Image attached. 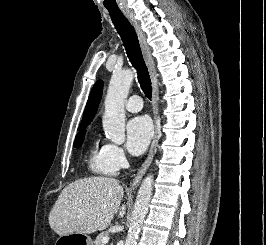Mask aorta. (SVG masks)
I'll return each instance as SVG.
<instances>
[{
    "label": "aorta",
    "instance_id": "obj_1",
    "mask_svg": "<svg viewBox=\"0 0 266 245\" xmlns=\"http://www.w3.org/2000/svg\"><path fill=\"white\" fill-rule=\"evenodd\" d=\"M133 78L134 72L127 68V70H121V72H113L109 82L102 123L107 139H110L115 145H123L125 141L124 102L128 96ZM153 181V175H148L139 187L125 245H136L139 239L141 227L148 213Z\"/></svg>",
    "mask_w": 266,
    "mask_h": 245
}]
</instances>
